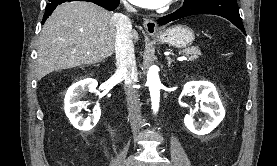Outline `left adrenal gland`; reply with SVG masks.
I'll use <instances>...</instances> for the list:
<instances>
[{"mask_svg":"<svg viewBox=\"0 0 277 166\" xmlns=\"http://www.w3.org/2000/svg\"><path fill=\"white\" fill-rule=\"evenodd\" d=\"M166 59L168 61V68H170L171 63L173 62V60L170 57H167Z\"/></svg>","mask_w":277,"mask_h":166,"instance_id":"a2214340","label":"left adrenal gland"}]
</instances>
